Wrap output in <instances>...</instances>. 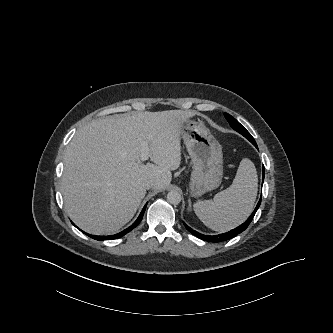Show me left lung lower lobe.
Masks as SVG:
<instances>
[{
	"mask_svg": "<svg viewBox=\"0 0 333 333\" xmlns=\"http://www.w3.org/2000/svg\"><path fill=\"white\" fill-rule=\"evenodd\" d=\"M257 149V144L254 143L253 144ZM263 180H264V166H263V177H262V184H263ZM261 204V198L256 206V208L254 209L253 213L251 214V216L244 222L242 223L240 226H238L235 229L230 230L229 232L223 233V234H219V235H204V234H200L199 232L193 230L192 228H190L188 225H185L186 229L192 233L193 235H195L196 237L204 240V241H209V242H213V243H218V242H223V241H227L235 236H237L238 234H240L241 232H243L250 224V222L252 221L256 211L258 210L259 206Z\"/></svg>",
	"mask_w": 333,
	"mask_h": 333,
	"instance_id": "obj_1",
	"label": "left lung lower lobe"
}]
</instances>
